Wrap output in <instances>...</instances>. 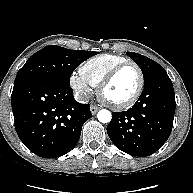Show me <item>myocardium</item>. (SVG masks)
<instances>
[{
	"instance_id": "obj_1",
	"label": "myocardium",
	"mask_w": 193,
	"mask_h": 193,
	"mask_svg": "<svg viewBox=\"0 0 193 193\" xmlns=\"http://www.w3.org/2000/svg\"><path fill=\"white\" fill-rule=\"evenodd\" d=\"M134 67L137 70L138 76H139V83L137 86L136 91L134 92V94L127 99L124 102L121 103H112L110 101H108L105 97H104V91L107 88V86L112 82V80L116 77V75L123 70L126 67ZM144 84H145V78H144V74L142 69L140 68V66L138 64H136L133 61H126L124 63H121L119 65H117L116 67H114L100 82L99 86H98V96L99 99L107 106H109L110 108L114 109V110H124V109H128L131 106H133L136 101L139 99V97L142 94V91L144 89Z\"/></svg>"
}]
</instances>
